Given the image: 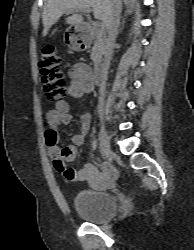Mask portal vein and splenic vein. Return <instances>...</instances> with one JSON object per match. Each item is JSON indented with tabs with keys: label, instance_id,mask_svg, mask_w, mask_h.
<instances>
[{
	"label": "portal vein and splenic vein",
	"instance_id": "obj_1",
	"mask_svg": "<svg viewBox=\"0 0 194 250\" xmlns=\"http://www.w3.org/2000/svg\"><path fill=\"white\" fill-rule=\"evenodd\" d=\"M81 11H83V12H85V13H87V14L91 13V9H89V8L83 9V10H81ZM74 12H77V10H69V11H66L65 13H66L67 15H69V14H72V13H74ZM97 19H99V18H97ZM100 20H101V19H100ZM98 25H99L100 29H103V28H104V25H103L102 22H98Z\"/></svg>",
	"mask_w": 194,
	"mask_h": 250
}]
</instances>
